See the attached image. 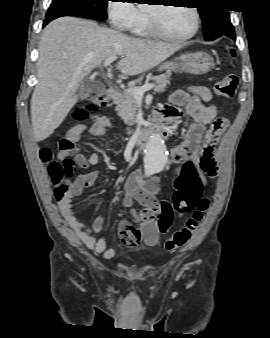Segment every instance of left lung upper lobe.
I'll return each instance as SVG.
<instances>
[{
    "label": "left lung upper lobe",
    "instance_id": "obj_1",
    "mask_svg": "<svg viewBox=\"0 0 270 338\" xmlns=\"http://www.w3.org/2000/svg\"><path fill=\"white\" fill-rule=\"evenodd\" d=\"M199 4L204 39L211 41L223 34L230 36L234 27L230 22L229 11L224 8L225 0H199Z\"/></svg>",
    "mask_w": 270,
    "mask_h": 338
}]
</instances>
